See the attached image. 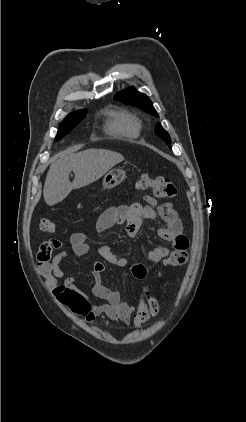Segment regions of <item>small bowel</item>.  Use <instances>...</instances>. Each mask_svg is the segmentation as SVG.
I'll return each instance as SVG.
<instances>
[{"label":"small bowel","mask_w":246,"mask_h":422,"mask_svg":"<svg viewBox=\"0 0 246 422\" xmlns=\"http://www.w3.org/2000/svg\"><path fill=\"white\" fill-rule=\"evenodd\" d=\"M145 204L134 203L132 205L113 206L105 210L97 221V232L104 231L116 226L123 225L126 234L135 238L142 222L146 219L156 220L161 218L165 225L158 228V236L172 244V250L166 246H155L146 255L148 265L135 263L131 265L132 275L137 279H144L149 267L155 266L164 261L172 251H187L189 241L183 233L182 223L171 203L159 205L152 196L144 197ZM70 245L76 256H82L89 252L90 246L87 242V235L83 232H76L70 236ZM61 242L57 239H50L41 244L37 252V271L45 278L47 286L51 289L55 298L67 306L74 313L92 322L100 315H105L113 321L129 323L135 310L134 305L123 301L120 293L107 287L103 282L104 264L95 262L94 276L95 284L93 294L104 300L103 304H92L86 295L76 286L75 279L68 276L63 282L65 271L61 267L62 261L67 257L68 251L61 249ZM57 251L56 254L54 252ZM99 255L108 263L116 267H124L128 261L124 257L115 255L109 246L103 245L98 249Z\"/></svg>","instance_id":"c3829d8e"}]
</instances>
